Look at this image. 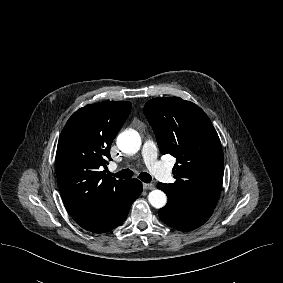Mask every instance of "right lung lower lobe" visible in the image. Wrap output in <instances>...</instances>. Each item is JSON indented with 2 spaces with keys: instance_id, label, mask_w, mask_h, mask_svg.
<instances>
[{
  "instance_id": "1",
  "label": "right lung lower lobe",
  "mask_w": 283,
  "mask_h": 283,
  "mask_svg": "<svg viewBox=\"0 0 283 283\" xmlns=\"http://www.w3.org/2000/svg\"><path fill=\"white\" fill-rule=\"evenodd\" d=\"M129 183L128 191L122 196L114 209L103 219L84 229L94 233H103L119 226L126 219L132 203L139 197L143 189L139 180L132 179L129 180Z\"/></svg>"
}]
</instances>
